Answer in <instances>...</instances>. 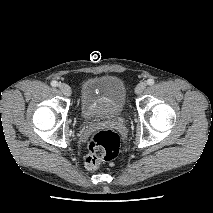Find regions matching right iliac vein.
Wrapping results in <instances>:
<instances>
[{"label": "right iliac vein", "mask_w": 213, "mask_h": 213, "mask_svg": "<svg viewBox=\"0 0 213 213\" xmlns=\"http://www.w3.org/2000/svg\"><path fill=\"white\" fill-rule=\"evenodd\" d=\"M59 89L60 91L65 95V96H70L71 95V88L69 85L65 83H60L59 84Z\"/></svg>", "instance_id": "63e3f726"}]
</instances>
